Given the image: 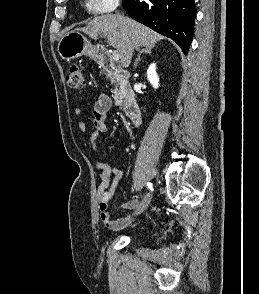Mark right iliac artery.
Masks as SVG:
<instances>
[{
    "instance_id": "1",
    "label": "right iliac artery",
    "mask_w": 259,
    "mask_h": 294,
    "mask_svg": "<svg viewBox=\"0 0 259 294\" xmlns=\"http://www.w3.org/2000/svg\"><path fill=\"white\" fill-rule=\"evenodd\" d=\"M147 186L150 188V190H153L151 183H147Z\"/></svg>"
}]
</instances>
